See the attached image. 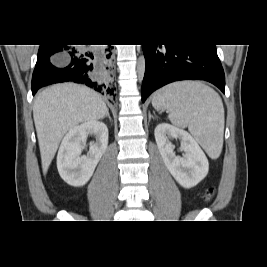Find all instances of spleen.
<instances>
[{
  "label": "spleen",
  "instance_id": "spleen-1",
  "mask_svg": "<svg viewBox=\"0 0 267 267\" xmlns=\"http://www.w3.org/2000/svg\"><path fill=\"white\" fill-rule=\"evenodd\" d=\"M156 110L167 109L168 118L189 132L212 159L223 147L224 108L219 94L199 81H180L158 90L152 99Z\"/></svg>",
  "mask_w": 267,
  "mask_h": 267
}]
</instances>
